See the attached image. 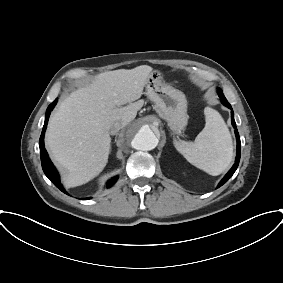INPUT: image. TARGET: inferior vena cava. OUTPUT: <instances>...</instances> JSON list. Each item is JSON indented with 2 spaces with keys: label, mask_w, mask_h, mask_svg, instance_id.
Returning <instances> with one entry per match:
<instances>
[{
  "label": "inferior vena cava",
  "mask_w": 283,
  "mask_h": 283,
  "mask_svg": "<svg viewBox=\"0 0 283 283\" xmlns=\"http://www.w3.org/2000/svg\"><path fill=\"white\" fill-rule=\"evenodd\" d=\"M125 126V124L121 121L115 122L111 127H110V134L115 135L120 129H122Z\"/></svg>",
  "instance_id": "1"
}]
</instances>
